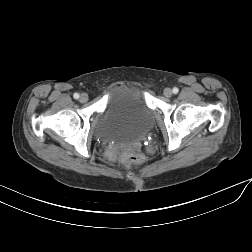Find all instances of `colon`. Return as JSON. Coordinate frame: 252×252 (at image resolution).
Returning <instances> with one entry per match:
<instances>
[{"mask_svg": "<svg viewBox=\"0 0 252 252\" xmlns=\"http://www.w3.org/2000/svg\"><path fill=\"white\" fill-rule=\"evenodd\" d=\"M121 159L123 160V162L128 164H140L144 160L143 156L139 152L130 150L125 151L122 154Z\"/></svg>", "mask_w": 252, "mask_h": 252, "instance_id": "1", "label": "colon"}]
</instances>
